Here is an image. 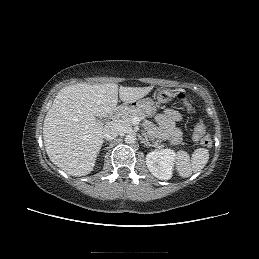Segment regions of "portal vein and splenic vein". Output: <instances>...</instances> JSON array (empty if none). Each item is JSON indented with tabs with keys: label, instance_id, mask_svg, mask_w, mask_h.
I'll return each mask as SVG.
<instances>
[{
	"label": "portal vein and splenic vein",
	"instance_id": "obj_1",
	"mask_svg": "<svg viewBox=\"0 0 259 259\" xmlns=\"http://www.w3.org/2000/svg\"><path fill=\"white\" fill-rule=\"evenodd\" d=\"M139 120H135L134 122L137 124Z\"/></svg>",
	"mask_w": 259,
	"mask_h": 259
}]
</instances>
